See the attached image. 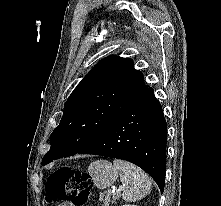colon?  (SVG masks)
<instances>
[{
  "label": "colon",
  "instance_id": "5ec220e1",
  "mask_svg": "<svg viewBox=\"0 0 221 206\" xmlns=\"http://www.w3.org/2000/svg\"><path fill=\"white\" fill-rule=\"evenodd\" d=\"M92 180L88 173L70 167H61L51 174L46 183L50 200L71 201L73 206H84Z\"/></svg>",
  "mask_w": 221,
  "mask_h": 206
}]
</instances>
